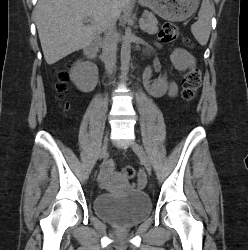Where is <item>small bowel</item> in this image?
<instances>
[{
	"label": "small bowel",
	"mask_w": 248,
	"mask_h": 250,
	"mask_svg": "<svg viewBox=\"0 0 248 250\" xmlns=\"http://www.w3.org/2000/svg\"><path fill=\"white\" fill-rule=\"evenodd\" d=\"M172 62L177 70L184 71L195 65V59L184 49L178 48L172 52L171 55ZM150 88L152 91H159V82L157 80H152L150 82ZM167 94L169 96H175L178 91L177 84L173 81L167 84L166 88ZM112 171V166L110 164H105L101 171V178L106 180Z\"/></svg>",
	"instance_id": "c3829d8e"
}]
</instances>
